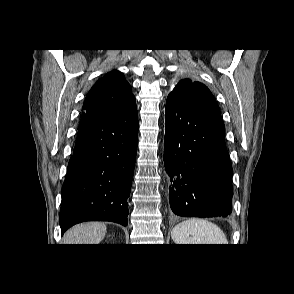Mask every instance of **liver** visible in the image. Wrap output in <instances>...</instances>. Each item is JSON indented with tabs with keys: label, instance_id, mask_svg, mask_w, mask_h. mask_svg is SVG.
Masks as SVG:
<instances>
[{
	"label": "liver",
	"instance_id": "obj_1",
	"mask_svg": "<svg viewBox=\"0 0 294 294\" xmlns=\"http://www.w3.org/2000/svg\"><path fill=\"white\" fill-rule=\"evenodd\" d=\"M107 227L101 222H88L69 229L64 236L65 244H99L105 237Z\"/></svg>",
	"mask_w": 294,
	"mask_h": 294
}]
</instances>
